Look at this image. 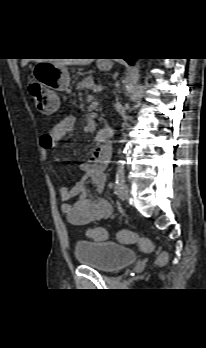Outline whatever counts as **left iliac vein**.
I'll list each match as a JSON object with an SVG mask.
<instances>
[{"label": "left iliac vein", "instance_id": "4c4485c4", "mask_svg": "<svg viewBox=\"0 0 206 348\" xmlns=\"http://www.w3.org/2000/svg\"><path fill=\"white\" fill-rule=\"evenodd\" d=\"M129 196V187L127 184H124L118 192V197L121 200H126Z\"/></svg>", "mask_w": 206, "mask_h": 348}]
</instances>
